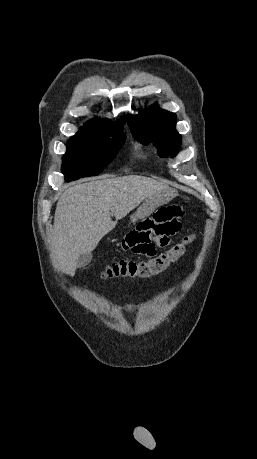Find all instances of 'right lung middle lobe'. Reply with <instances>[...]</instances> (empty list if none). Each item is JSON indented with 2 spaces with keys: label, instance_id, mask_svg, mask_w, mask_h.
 I'll use <instances>...</instances> for the list:
<instances>
[{
  "label": "right lung middle lobe",
  "instance_id": "dd1d6c3e",
  "mask_svg": "<svg viewBox=\"0 0 257 459\" xmlns=\"http://www.w3.org/2000/svg\"><path fill=\"white\" fill-rule=\"evenodd\" d=\"M125 139L126 135L120 130L96 133L81 128L70 138L63 156L62 172L66 181L101 173L120 150Z\"/></svg>",
  "mask_w": 257,
  "mask_h": 459
}]
</instances>
